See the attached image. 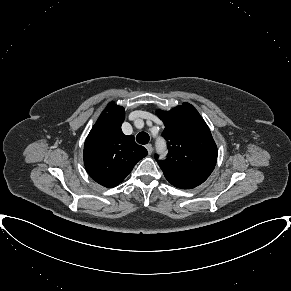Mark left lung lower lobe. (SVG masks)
Returning a JSON list of instances; mask_svg holds the SVG:
<instances>
[{
    "instance_id": "obj_1",
    "label": "left lung lower lobe",
    "mask_w": 291,
    "mask_h": 291,
    "mask_svg": "<svg viewBox=\"0 0 291 291\" xmlns=\"http://www.w3.org/2000/svg\"><path fill=\"white\" fill-rule=\"evenodd\" d=\"M169 181V180H168ZM173 186L177 187V188H181V189H192L195 186L186 184V183H182V182H177V181H169Z\"/></svg>"
}]
</instances>
